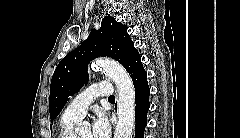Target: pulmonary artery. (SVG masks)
I'll use <instances>...</instances> for the list:
<instances>
[{
    "label": "pulmonary artery",
    "mask_w": 240,
    "mask_h": 138,
    "mask_svg": "<svg viewBox=\"0 0 240 138\" xmlns=\"http://www.w3.org/2000/svg\"><path fill=\"white\" fill-rule=\"evenodd\" d=\"M110 96H112L111 83L106 81L99 82L73 98L67 105L63 115L80 119L86 114L88 107L97 97L109 98Z\"/></svg>",
    "instance_id": "pulmonary-artery-1"
}]
</instances>
